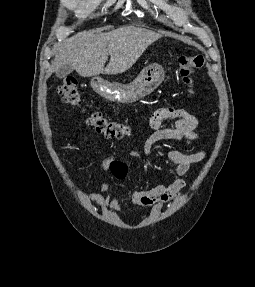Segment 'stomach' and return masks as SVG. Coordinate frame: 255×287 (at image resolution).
<instances>
[{
	"instance_id": "stomach-1",
	"label": "stomach",
	"mask_w": 255,
	"mask_h": 287,
	"mask_svg": "<svg viewBox=\"0 0 255 287\" xmlns=\"http://www.w3.org/2000/svg\"><path fill=\"white\" fill-rule=\"evenodd\" d=\"M164 78L163 72H141L138 78H135L132 84H118V82H106L102 78H92L91 86L99 96L109 100V102H120V104H132L145 98L155 88L160 86Z\"/></svg>"
}]
</instances>
